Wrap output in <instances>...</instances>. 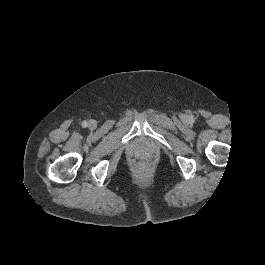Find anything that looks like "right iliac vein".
Returning a JSON list of instances; mask_svg holds the SVG:
<instances>
[{
	"instance_id": "obj_1",
	"label": "right iliac vein",
	"mask_w": 265,
	"mask_h": 265,
	"mask_svg": "<svg viewBox=\"0 0 265 265\" xmlns=\"http://www.w3.org/2000/svg\"><path fill=\"white\" fill-rule=\"evenodd\" d=\"M96 126V121L95 120H89L88 121V127L90 129H93Z\"/></svg>"
}]
</instances>
